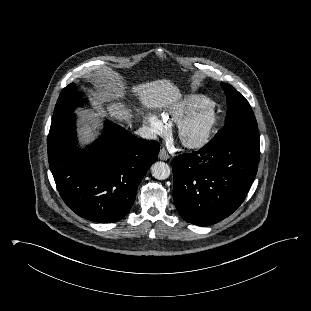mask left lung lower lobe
Returning <instances> with one entry per match:
<instances>
[{
    "label": "left lung lower lobe",
    "mask_w": 311,
    "mask_h": 311,
    "mask_svg": "<svg viewBox=\"0 0 311 311\" xmlns=\"http://www.w3.org/2000/svg\"><path fill=\"white\" fill-rule=\"evenodd\" d=\"M259 156L258 134L234 132L175 157L173 198L181 217L209 226L230 216L255 179Z\"/></svg>",
    "instance_id": "0a47b994"
}]
</instances>
